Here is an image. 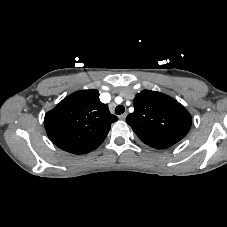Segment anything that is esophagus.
<instances>
[{
    "mask_svg": "<svg viewBox=\"0 0 227 227\" xmlns=\"http://www.w3.org/2000/svg\"><path fill=\"white\" fill-rule=\"evenodd\" d=\"M126 116H127V113L125 112V113H123L122 115L119 116V119L125 120Z\"/></svg>",
    "mask_w": 227,
    "mask_h": 227,
    "instance_id": "esophagus-1",
    "label": "esophagus"
}]
</instances>
